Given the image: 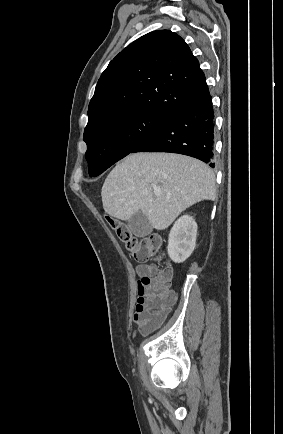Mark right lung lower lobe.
<instances>
[{
  "mask_svg": "<svg viewBox=\"0 0 283 434\" xmlns=\"http://www.w3.org/2000/svg\"><path fill=\"white\" fill-rule=\"evenodd\" d=\"M214 111L211 96L201 98L170 117L135 147V152H171L209 163L214 156Z\"/></svg>",
  "mask_w": 283,
  "mask_h": 434,
  "instance_id": "right-lung-lower-lobe-1",
  "label": "right lung lower lobe"
}]
</instances>
